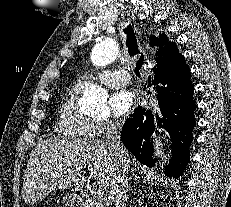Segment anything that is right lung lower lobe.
Wrapping results in <instances>:
<instances>
[{"instance_id": "1", "label": "right lung lower lobe", "mask_w": 231, "mask_h": 207, "mask_svg": "<svg viewBox=\"0 0 231 207\" xmlns=\"http://www.w3.org/2000/svg\"><path fill=\"white\" fill-rule=\"evenodd\" d=\"M154 79H150L155 96L152 105L138 107L125 121L121 138L127 149L148 167L153 163L151 135L163 127L170 136L171 158L165 168L167 176L178 178L190 159L189 147L195 126L193 85L190 69L183 56L164 59L159 57L154 67ZM150 93V91H149Z\"/></svg>"}]
</instances>
